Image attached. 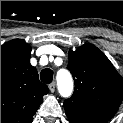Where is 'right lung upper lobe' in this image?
<instances>
[{"mask_svg": "<svg viewBox=\"0 0 123 123\" xmlns=\"http://www.w3.org/2000/svg\"><path fill=\"white\" fill-rule=\"evenodd\" d=\"M31 47L14 39L1 46V123H32L48 93L30 64Z\"/></svg>", "mask_w": 123, "mask_h": 123, "instance_id": "1", "label": "right lung upper lobe"}]
</instances>
